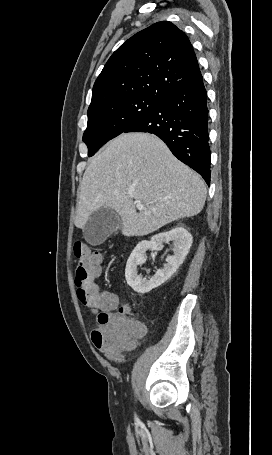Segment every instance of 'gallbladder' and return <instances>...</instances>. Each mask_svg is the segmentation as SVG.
Instances as JSON below:
<instances>
[{"label": "gallbladder", "mask_w": 272, "mask_h": 455, "mask_svg": "<svg viewBox=\"0 0 272 455\" xmlns=\"http://www.w3.org/2000/svg\"><path fill=\"white\" fill-rule=\"evenodd\" d=\"M122 225L119 215L110 207L103 206L93 212L83 228V236L90 245L103 243Z\"/></svg>", "instance_id": "1"}]
</instances>
